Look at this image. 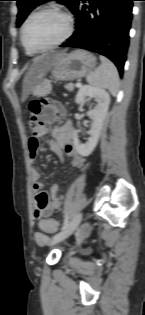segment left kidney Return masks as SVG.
<instances>
[{"label": "left kidney", "instance_id": "obj_1", "mask_svg": "<svg viewBox=\"0 0 145 315\" xmlns=\"http://www.w3.org/2000/svg\"><path fill=\"white\" fill-rule=\"evenodd\" d=\"M86 97L94 98L97 105L87 114L92 120L91 129L88 132L90 135L88 141L82 144L78 139L77 131L74 130L73 133L74 147L81 156H89L95 149L110 104L109 94L101 88L89 85L82 86L76 95L75 102L80 104Z\"/></svg>", "mask_w": 145, "mask_h": 315}]
</instances>
